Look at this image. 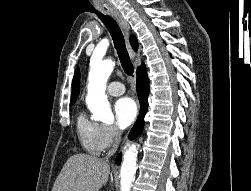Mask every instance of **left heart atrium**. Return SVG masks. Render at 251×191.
<instances>
[{"label": "left heart atrium", "instance_id": "1", "mask_svg": "<svg viewBox=\"0 0 251 191\" xmlns=\"http://www.w3.org/2000/svg\"><path fill=\"white\" fill-rule=\"evenodd\" d=\"M116 127L120 130L130 126L137 115V105L131 98H121L114 105Z\"/></svg>", "mask_w": 251, "mask_h": 191}]
</instances>
